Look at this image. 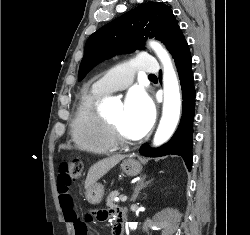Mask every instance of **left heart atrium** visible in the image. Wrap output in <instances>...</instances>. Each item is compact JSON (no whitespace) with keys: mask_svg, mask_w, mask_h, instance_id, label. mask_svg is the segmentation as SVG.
<instances>
[{"mask_svg":"<svg viewBox=\"0 0 250 235\" xmlns=\"http://www.w3.org/2000/svg\"><path fill=\"white\" fill-rule=\"evenodd\" d=\"M124 119L136 138L144 136L150 130L155 119V109L152 100L143 90L133 89L127 94Z\"/></svg>","mask_w":250,"mask_h":235,"instance_id":"39dd6f15","label":"left heart atrium"}]
</instances>
